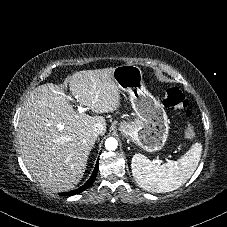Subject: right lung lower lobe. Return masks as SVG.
<instances>
[{"label":"right lung lower lobe","mask_w":227,"mask_h":227,"mask_svg":"<svg viewBox=\"0 0 227 227\" xmlns=\"http://www.w3.org/2000/svg\"><path fill=\"white\" fill-rule=\"evenodd\" d=\"M98 163L99 162L97 161L96 166L94 168V171H93L91 177L89 178V180L82 187H80V188H78L76 190H73V191H70V192L61 193V194L62 195L72 196V195H75V194H79V193L83 192L84 190H86L88 187H90L93 184V182H94V180H95V178L97 176L98 166H99Z\"/></svg>","instance_id":"1"}]
</instances>
